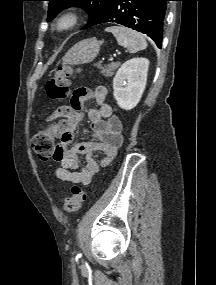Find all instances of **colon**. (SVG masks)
Instances as JSON below:
<instances>
[{
  "instance_id": "colon-1",
  "label": "colon",
  "mask_w": 216,
  "mask_h": 285,
  "mask_svg": "<svg viewBox=\"0 0 216 285\" xmlns=\"http://www.w3.org/2000/svg\"><path fill=\"white\" fill-rule=\"evenodd\" d=\"M76 70L70 66L58 68L55 76L46 84V92L51 100H61L67 97L70 86L69 79ZM56 115L60 120L63 118L64 112L62 108L56 112ZM57 123H54L53 127ZM52 129L40 130L32 138V148L41 160H48L54 157L56 146ZM86 196V192L82 188L74 186L71 196L64 201V210L69 213L78 211Z\"/></svg>"
}]
</instances>
